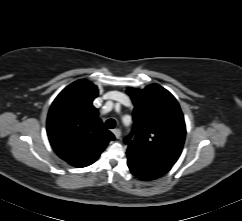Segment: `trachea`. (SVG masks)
Here are the masks:
<instances>
[{"label": "trachea", "mask_w": 242, "mask_h": 221, "mask_svg": "<svg viewBox=\"0 0 242 221\" xmlns=\"http://www.w3.org/2000/svg\"><path fill=\"white\" fill-rule=\"evenodd\" d=\"M106 127L109 129H113L116 126V122L114 119H108L105 123Z\"/></svg>", "instance_id": "obj_1"}]
</instances>
